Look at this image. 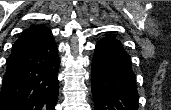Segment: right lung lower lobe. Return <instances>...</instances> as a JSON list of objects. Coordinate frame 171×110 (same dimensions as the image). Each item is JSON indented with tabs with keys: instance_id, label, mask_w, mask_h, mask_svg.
Wrapping results in <instances>:
<instances>
[{
	"instance_id": "right-lung-lower-lobe-1",
	"label": "right lung lower lobe",
	"mask_w": 171,
	"mask_h": 110,
	"mask_svg": "<svg viewBox=\"0 0 171 110\" xmlns=\"http://www.w3.org/2000/svg\"><path fill=\"white\" fill-rule=\"evenodd\" d=\"M60 59L50 32L13 52L0 92V110H55Z\"/></svg>"
}]
</instances>
